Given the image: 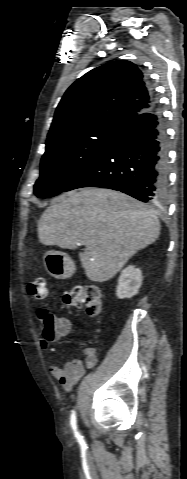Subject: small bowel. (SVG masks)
Here are the masks:
<instances>
[{"mask_svg": "<svg viewBox=\"0 0 187 479\" xmlns=\"http://www.w3.org/2000/svg\"><path fill=\"white\" fill-rule=\"evenodd\" d=\"M57 320L63 325L62 337L70 334L72 329L71 322L64 317H58ZM51 342V340L42 338L39 344L42 349L52 351L53 348L50 346ZM84 355V361L79 358H73L62 366L54 363L49 365L51 375L60 382L63 389L67 392L73 389L75 384L84 376L86 370L94 368L97 363V356L94 348H85Z\"/></svg>", "mask_w": 187, "mask_h": 479, "instance_id": "1", "label": "small bowel"}]
</instances>
